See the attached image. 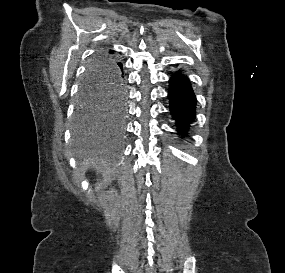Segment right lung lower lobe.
Returning a JSON list of instances; mask_svg holds the SVG:
<instances>
[{"label":"right lung lower lobe","instance_id":"right-lung-lower-lobe-1","mask_svg":"<svg viewBox=\"0 0 285 273\" xmlns=\"http://www.w3.org/2000/svg\"><path fill=\"white\" fill-rule=\"evenodd\" d=\"M113 59V58H112ZM113 62L117 68V75L118 77L123 81V68H122V63L118 62L117 60L113 59Z\"/></svg>","mask_w":285,"mask_h":273}]
</instances>
